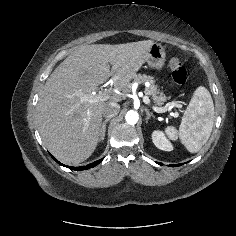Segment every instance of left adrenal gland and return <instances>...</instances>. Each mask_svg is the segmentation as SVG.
<instances>
[{"mask_svg": "<svg viewBox=\"0 0 236 236\" xmlns=\"http://www.w3.org/2000/svg\"><path fill=\"white\" fill-rule=\"evenodd\" d=\"M145 112H146V123H148V121H149V119L152 117V118H154L155 119V116L153 115V113L152 112H149V110L148 109H145Z\"/></svg>", "mask_w": 236, "mask_h": 236, "instance_id": "obj_1", "label": "left adrenal gland"}]
</instances>
